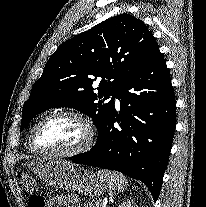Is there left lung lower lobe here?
<instances>
[{
	"label": "left lung lower lobe",
	"instance_id": "obj_1",
	"mask_svg": "<svg viewBox=\"0 0 206 207\" xmlns=\"http://www.w3.org/2000/svg\"><path fill=\"white\" fill-rule=\"evenodd\" d=\"M114 111L88 152L72 162L119 171L146 184L158 199L171 151L176 101L165 60L158 46L116 94ZM119 123V128L114 123Z\"/></svg>",
	"mask_w": 206,
	"mask_h": 207
}]
</instances>
